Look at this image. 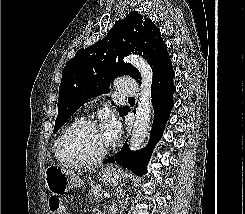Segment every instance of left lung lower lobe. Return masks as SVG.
I'll list each match as a JSON object with an SVG mask.
<instances>
[{
    "mask_svg": "<svg viewBox=\"0 0 245 214\" xmlns=\"http://www.w3.org/2000/svg\"><path fill=\"white\" fill-rule=\"evenodd\" d=\"M174 76L175 72L171 65L152 83L151 94L155 115L148 146L139 152H131L126 141L122 149L114 156L106 159L104 163L117 162L120 166L125 167L140 176L146 173L147 163L150 159L153 147L161 138L166 122L169 119L171 109L174 105ZM129 111L130 109L127 110L125 115Z\"/></svg>",
    "mask_w": 245,
    "mask_h": 214,
    "instance_id": "1",
    "label": "left lung lower lobe"
}]
</instances>
